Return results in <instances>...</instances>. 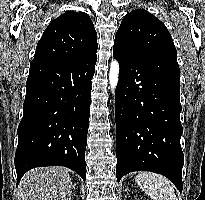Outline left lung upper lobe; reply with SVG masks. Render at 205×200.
Returning a JSON list of instances; mask_svg holds the SVG:
<instances>
[{"label": "left lung upper lobe", "instance_id": "5c2ea615", "mask_svg": "<svg viewBox=\"0 0 205 200\" xmlns=\"http://www.w3.org/2000/svg\"><path fill=\"white\" fill-rule=\"evenodd\" d=\"M113 48L134 58L161 53L176 54L172 37L165 25L144 9L133 10L124 16Z\"/></svg>", "mask_w": 205, "mask_h": 200}]
</instances>
